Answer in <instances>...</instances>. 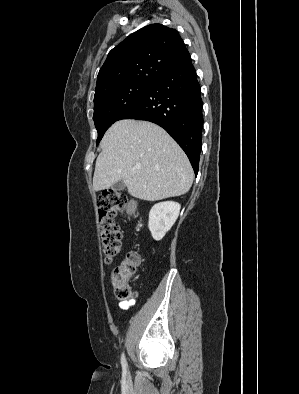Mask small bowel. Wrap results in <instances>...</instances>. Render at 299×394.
<instances>
[{
    "label": "small bowel",
    "mask_w": 299,
    "mask_h": 394,
    "mask_svg": "<svg viewBox=\"0 0 299 394\" xmlns=\"http://www.w3.org/2000/svg\"><path fill=\"white\" fill-rule=\"evenodd\" d=\"M133 304H134V300L120 302L119 303V308L123 309V310H126V309L130 308Z\"/></svg>",
    "instance_id": "c3829d8e"
}]
</instances>
